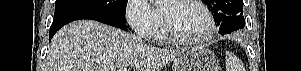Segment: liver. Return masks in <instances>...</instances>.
<instances>
[{
    "mask_svg": "<svg viewBox=\"0 0 301 71\" xmlns=\"http://www.w3.org/2000/svg\"><path fill=\"white\" fill-rule=\"evenodd\" d=\"M184 51L164 50L140 37L91 20L64 26L52 38L45 71H161Z\"/></svg>",
    "mask_w": 301,
    "mask_h": 71,
    "instance_id": "obj_1",
    "label": "liver"
}]
</instances>
